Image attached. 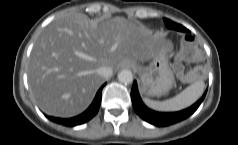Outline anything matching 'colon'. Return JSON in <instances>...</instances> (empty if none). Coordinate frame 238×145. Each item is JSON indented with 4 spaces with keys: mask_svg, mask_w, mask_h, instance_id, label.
<instances>
[{
    "mask_svg": "<svg viewBox=\"0 0 238 145\" xmlns=\"http://www.w3.org/2000/svg\"><path fill=\"white\" fill-rule=\"evenodd\" d=\"M202 50L192 38L185 39L179 47L177 60L174 64V71L179 78L185 82H196L205 77V71L201 67L184 72L182 62H199L202 59Z\"/></svg>",
    "mask_w": 238,
    "mask_h": 145,
    "instance_id": "1",
    "label": "colon"
}]
</instances>
